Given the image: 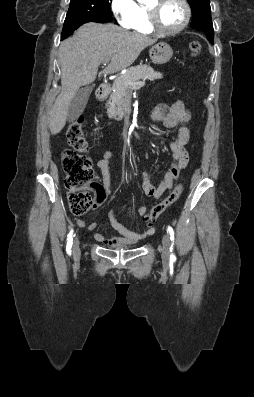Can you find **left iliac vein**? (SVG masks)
I'll list each match as a JSON object with an SVG mask.
<instances>
[{
  "mask_svg": "<svg viewBox=\"0 0 254 397\" xmlns=\"http://www.w3.org/2000/svg\"><path fill=\"white\" fill-rule=\"evenodd\" d=\"M162 245V260L167 263L170 258V238L167 233L163 236Z\"/></svg>",
  "mask_w": 254,
  "mask_h": 397,
  "instance_id": "left-iliac-vein-1",
  "label": "left iliac vein"
}]
</instances>
